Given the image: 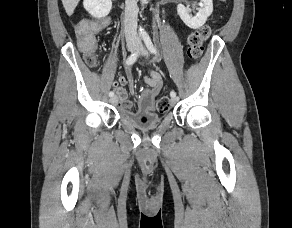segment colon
Here are the masks:
<instances>
[{
	"mask_svg": "<svg viewBox=\"0 0 292 228\" xmlns=\"http://www.w3.org/2000/svg\"><path fill=\"white\" fill-rule=\"evenodd\" d=\"M224 1V0H223ZM107 19L99 22L81 23L77 27V39L80 49L85 55V61L89 66H95L98 61L95 33L99 27H104ZM211 35V28L208 25L193 31L188 36V55L191 59H199L204 51V43ZM156 108L159 112H165L169 108V98L162 96L156 101Z\"/></svg>",
	"mask_w": 292,
	"mask_h": 228,
	"instance_id": "1",
	"label": "colon"
}]
</instances>
